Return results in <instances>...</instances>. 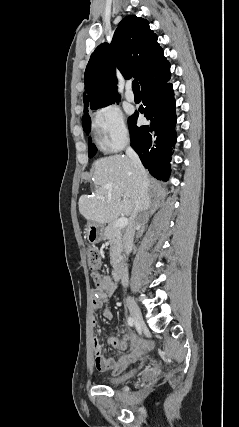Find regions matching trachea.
Masks as SVG:
<instances>
[{
  "mask_svg": "<svg viewBox=\"0 0 239 427\" xmlns=\"http://www.w3.org/2000/svg\"><path fill=\"white\" fill-rule=\"evenodd\" d=\"M132 89H133V92L140 93V86L137 80H134L132 82Z\"/></svg>",
  "mask_w": 239,
  "mask_h": 427,
  "instance_id": "3493384b",
  "label": "trachea"
}]
</instances>
